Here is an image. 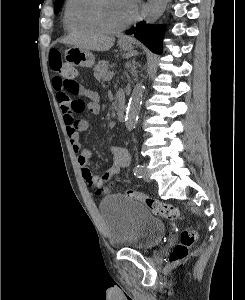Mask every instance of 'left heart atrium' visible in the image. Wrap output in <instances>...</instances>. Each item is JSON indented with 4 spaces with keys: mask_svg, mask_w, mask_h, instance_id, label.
<instances>
[{
    "mask_svg": "<svg viewBox=\"0 0 245 300\" xmlns=\"http://www.w3.org/2000/svg\"><path fill=\"white\" fill-rule=\"evenodd\" d=\"M126 2L128 4V6L130 7L133 15L136 14L138 0H126Z\"/></svg>",
    "mask_w": 245,
    "mask_h": 300,
    "instance_id": "1",
    "label": "left heart atrium"
}]
</instances>
